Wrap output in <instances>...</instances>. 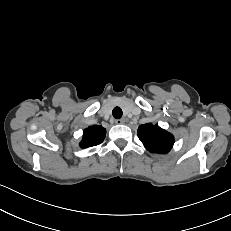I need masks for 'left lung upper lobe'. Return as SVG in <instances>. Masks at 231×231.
Segmentation results:
<instances>
[{"instance_id":"obj_1","label":"left lung upper lobe","mask_w":231,"mask_h":231,"mask_svg":"<svg viewBox=\"0 0 231 231\" xmlns=\"http://www.w3.org/2000/svg\"><path fill=\"white\" fill-rule=\"evenodd\" d=\"M138 137L147 150L158 154L168 153L174 144V137L157 124L147 123L140 125Z\"/></svg>"}]
</instances>
